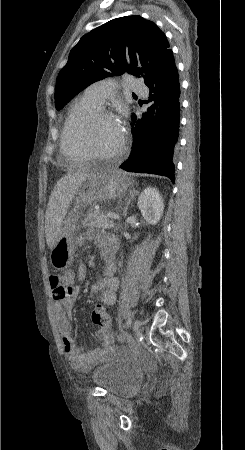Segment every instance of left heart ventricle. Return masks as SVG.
Segmentation results:
<instances>
[{"instance_id": "obj_1", "label": "left heart ventricle", "mask_w": 245, "mask_h": 450, "mask_svg": "<svg viewBox=\"0 0 245 450\" xmlns=\"http://www.w3.org/2000/svg\"><path fill=\"white\" fill-rule=\"evenodd\" d=\"M122 130L118 122L114 120H100L96 123L92 142L94 148L103 154L115 151L121 143Z\"/></svg>"}]
</instances>
